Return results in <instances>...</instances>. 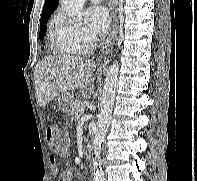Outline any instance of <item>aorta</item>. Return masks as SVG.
Instances as JSON below:
<instances>
[{
	"mask_svg": "<svg viewBox=\"0 0 197 181\" xmlns=\"http://www.w3.org/2000/svg\"><path fill=\"white\" fill-rule=\"evenodd\" d=\"M68 16L72 18L80 17L85 0H60ZM119 65L117 62L109 67L103 91L100 99V114L97 122V129L93 138V159H92V179L93 181H104V172L99 162L102 145L108 131L116 97L118 84Z\"/></svg>",
	"mask_w": 197,
	"mask_h": 181,
	"instance_id": "1",
	"label": "aorta"
}]
</instances>
